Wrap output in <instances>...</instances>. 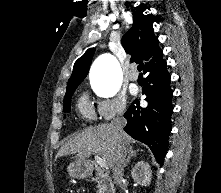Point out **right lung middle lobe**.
<instances>
[{
	"instance_id": "right-lung-middle-lobe-1",
	"label": "right lung middle lobe",
	"mask_w": 221,
	"mask_h": 193,
	"mask_svg": "<svg viewBox=\"0 0 221 193\" xmlns=\"http://www.w3.org/2000/svg\"><path fill=\"white\" fill-rule=\"evenodd\" d=\"M78 85L68 87L64 98V111H70L71 97Z\"/></svg>"
}]
</instances>
